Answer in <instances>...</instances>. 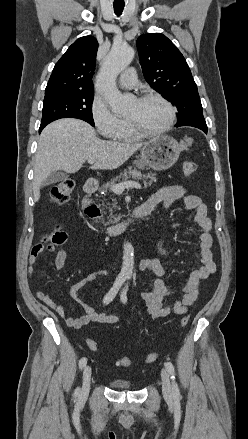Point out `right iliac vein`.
<instances>
[{
  "mask_svg": "<svg viewBox=\"0 0 248 439\" xmlns=\"http://www.w3.org/2000/svg\"><path fill=\"white\" fill-rule=\"evenodd\" d=\"M92 369L91 366L87 365L83 371V385L81 390V397H87L90 390V381H91Z\"/></svg>",
  "mask_w": 248,
  "mask_h": 439,
  "instance_id": "obj_1",
  "label": "right iliac vein"
}]
</instances>
